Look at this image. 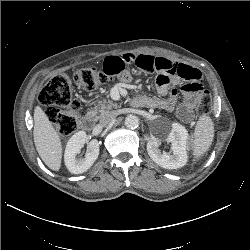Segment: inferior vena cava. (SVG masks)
Instances as JSON below:
<instances>
[{
	"label": "inferior vena cava",
	"instance_id": "1",
	"mask_svg": "<svg viewBox=\"0 0 250 250\" xmlns=\"http://www.w3.org/2000/svg\"><path fill=\"white\" fill-rule=\"evenodd\" d=\"M117 116L116 111L105 112L100 118V125L105 127L111 124Z\"/></svg>",
	"mask_w": 250,
	"mask_h": 250
}]
</instances>
